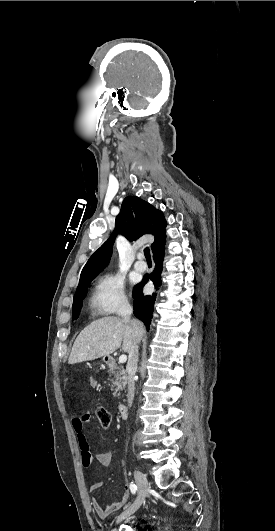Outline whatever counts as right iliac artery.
<instances>
[{
	"instance_id": "right-iliac-artery-1",
	"label": "right iliac artery",
	"mask_w": 275,
	"mask_h": 531,
	"mask_svg": "<svg viewBox=\"0 0 275 531\" xmlns=\"http://www.w3.org/2000/svg\"><path fill=\"white\" fill-rule=\"evenodd\" d=\"M130 490L133 494L137 491V486L133 482L130 483Z\"/></svg>"
}]
</instances>
